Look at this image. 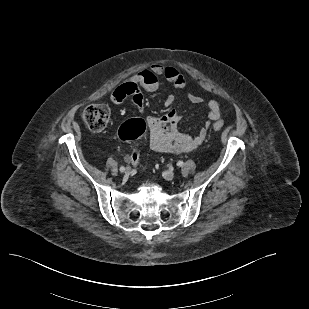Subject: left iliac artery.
Wrapping results in <instances>:
<instances>
[{
  "instance_id": "obj_1",
  "label": "left iliac artery",
  "mask_w": 309,
  "mask_h": 309,
  "mask_svg": "<svg viewBox=\"0 0 309 309\" xmlns=\"http://www.w3.org/2000/svg\"><path fill=\"white\" fill-rule=\"evenodd\" d=\"M183 164H184L183 161H178L177 162V166H179V167L183 166Z\"/></svg>"
}]
</instances>
